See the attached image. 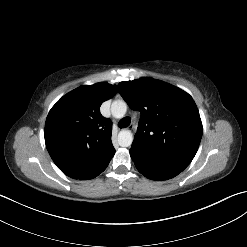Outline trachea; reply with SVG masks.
Instances as JSON below:
<instances>
[{
	"label": "trachea",
	"instance_id": "1",
	"mask_svg": "<svg viewBox=\"0 0 247 247\" xmlns=\"http://www.w3.org/2000/svg\"><path fill=\"white\" fill-rule=\"evenodd\" d=\"M129 124H130V118L129 117H124L118 123L119 127H121V128L127 127Z\"/></svg>",
	"mask_w": 247,
	"mask_h": 247
}]
</instances>
